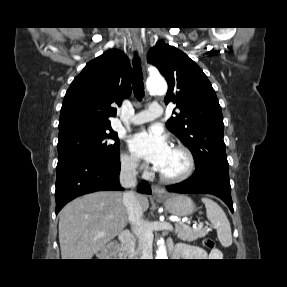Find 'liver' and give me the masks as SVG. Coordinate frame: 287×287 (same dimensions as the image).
<instances>
[{
	"mask_svg": "<svg viewBox=\"0 0 287 287\" xmlns=\"http://www.w3.org/2000/svg\"><path fill=\"white\" fill-rule=\"evenodd\" d=\"M143 211L148 198L137 195ZM128 215L120 192H95L75 199L60 212L62 259H91L123 231Z\"/></svg>",
	"mask_w": 287,
	"mask_h": 287,
	"instance_id": "obj_1",
	"label": "liver"
}]
</instances>
